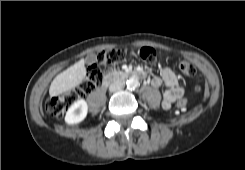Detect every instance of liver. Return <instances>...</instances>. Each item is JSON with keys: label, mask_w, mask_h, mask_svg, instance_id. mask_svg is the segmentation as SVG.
<instances>
[{"label": "liver", "mask_w": 245, "mask_h": 170, "mask_svg": "<svg viewBox=\"0 0 245 170\" xmlns=\"http://www.w3.org/2000/svg\"><path fill=\"white\" fill-rule=\"evenodd\" d=\"M85 76V63L84 59H81L54 78L49 88L50 96H58L75 88L82 83Z\"/></svg>", "instance_id": "liver-1"}]
</instances>
